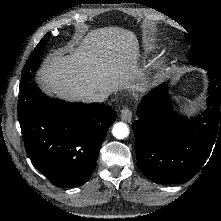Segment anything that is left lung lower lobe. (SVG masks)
I'll return each mask as SVG.
<instances>
[{"label":"left lung lower lobe","mask_w":221,"mask_h":221,"mask_svg":"<svg viewBox=\"0 0 221 221\" xmlns=\"http://www.w3.org/2000/svg\"><path fill=\"white\" fill-rule=\"evenodd\" d=\"M207 109L193 120L171 109L167 83L152 89L141 100L133 122L137 166L155 183L190 180L221 138V79L208 70Z\"/></svg>","instance_id":"0a47b994"}]
</instances>
